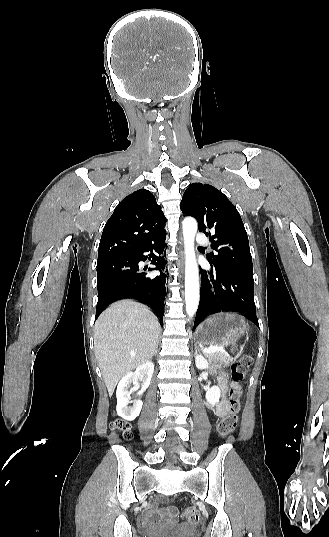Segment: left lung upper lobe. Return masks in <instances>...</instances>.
<instances>
[{
	"instance_id": "obj_1",
	"label": "left lung upper lobe",
	"mask_w": 329,
	"mask_h": 537,
	"mask_svg": "<svg viewBox=\"0 0 329 537\" xmlns=\"http://www.w3.org/2000/svg\"><path fill=\"white\" fill-rule=\"evenodd\" d=\"M180 208L183 214L195 217L199 231L209 236L211 248L217 252L207 256L210 264L253 274L244 224L221 191L208 184L193 183L184 192Z\"/></svg>"
}]
</instances>
